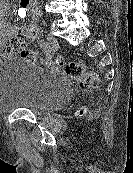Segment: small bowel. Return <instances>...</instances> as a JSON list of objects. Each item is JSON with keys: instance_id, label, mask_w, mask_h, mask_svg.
I'll return each mask as SVG.
<instances>
[{"instance_id": "obj_1", "label": "small bowel", "mask_w": 133, "mask_h": 173, "mask_svg": "<svg viewBox=\"0 0 133 173\" xmlns=\"http://www.w3.org/2000/svg\"><path fill=\"white\" fill-rule=\"evenodd\" d=\"M18 11L28 12V24L23 28L14 26L6 23L3 20V17L0 16V49H2L5 43L12 38H20L23 42H26L35 39L38 34L39 11L34 6L33 0H20ZM9 56L11 55L0 54V60Z\"/></svg>"}]
</instances>
